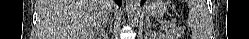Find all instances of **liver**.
Returning a JSON list of instances; mask_svg holds the SVG:
<instances>
[{
    "label": "liver",
    "mask_w": 249,
    "mask_h": 39,
    "mask_svg": "<svg viewBox=\"0 0 249 39\" xmlns=\"http://www.w3.org/2000/svg\"><path fill=\"white\" fill-rule=\"evenodd\" d=\"M113 7V0H38L40 37L94 39Z\"/></svg>",
    "instance_id": "obj_1"
}]
</instances>
